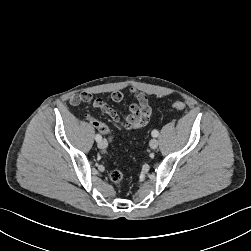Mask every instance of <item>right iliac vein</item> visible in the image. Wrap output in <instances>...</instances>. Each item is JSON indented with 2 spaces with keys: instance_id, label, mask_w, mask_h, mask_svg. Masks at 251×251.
Wrapping results in <instances>:
<instances>
[{
  "instance_id": "right-iliac-vein-1",
  "label": "right iliac vein",
  "mask_w": 251,
  "mask_h": 251,
  "mask_svg": "<svg viewBox=\"0 0 251 251\" xmlns=\"http://www.w3.org/2000/svg\"><path fill=\"white\" fill-rule=\"evenodd\" d=\"M107 145H108V143H107L106 140H100V141L98 142V147H99L100 149H105V148L107 147Z\"/></svg>"
}]
</instances>
